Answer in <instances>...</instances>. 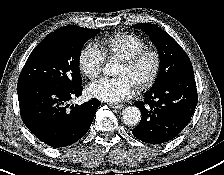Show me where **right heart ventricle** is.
<instances>
[{
	"label": "right heart ventricle",
	"instance_id": "right-heart-ventricle-1",
	"mask_svg": "<svg viewBox=\"0 0 224 175\" xmlns=\"http://www.w3.org/2000/svg\"><path fill=\"white\" fill-rule=\"evenodd\" d=\"M104 52L127 59L146 47L145 42L132 33H120L104 38L101 41Z\"/></svg>",
	"mask_w": 224,
	"mask_h": 175
}]
</instances>
